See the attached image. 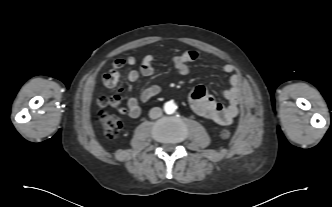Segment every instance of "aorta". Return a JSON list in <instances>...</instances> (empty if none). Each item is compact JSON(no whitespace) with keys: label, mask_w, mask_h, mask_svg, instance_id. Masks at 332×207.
<instances>
[{"label":"aorta","mask_w":332,"mask_h":207,"mask_svg":"<svg viewBox=\"0 0 332 207\" xmlns=\"http://www.w3.org/2000/svg\"><path fill=\"white\" fill-rule=\"evenodd\" d=\"M176 104L172 101H168L164 104V111L167 114H173L176 111Z\"/></svg>","instance_id":"obj_1"}]
</instances>
